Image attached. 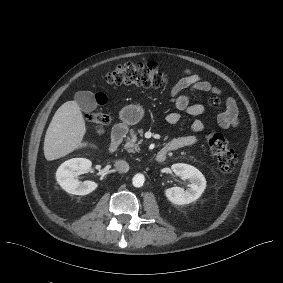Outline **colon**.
<instances>
[{"mask_svg": "<svg viewBox=\"0 0 283 283\" xmlns=\"http://www.w3.org/2000/svg\"><path fill=\"white\" fill-rule=\"evenodd\" d=\"M105 80L111 85H126L136 87H161L168 83V77L154 62L147 64L126 63L117 66L106 74ZM210 104L218 105L216 97L210 99ZM88 121L98 133H103L109 122V117L103 112H93ZM206 141L211 153L216 157L222 172H232L238 162L236 152L230 148L227 138L218 132H209Z\"/></svg>", "mask_w": 283, "mask_h": 283, "instance_id": "colon-1", "label": "colon"}]
</instances>
